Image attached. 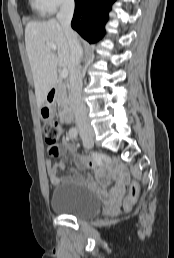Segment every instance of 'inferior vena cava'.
<instances>
[{"label":"inferior vena cava","instance_id":"inferior-vena-cava-1","mask_svg":"<svg viewBox=\"0 0 174 258\" xmlns=\"http://www.w3.org/2000/svg\"><path fill=\"white\" fill-rule=\"evenodd\" d=\"M75 8L74 0H63L57 20L61 24L66 35L70 48V105L75 115L76 125L80 133L93 132L87 117V109L81 98L82 75L80 71V61L83 56V49L79 43L77 34L71 28V20Z\"/></svg>","mask_w":174,"mask_h":258}]
</instances>
